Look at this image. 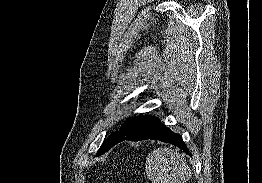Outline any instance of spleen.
<instances>
[{"mask_svg": "<svg viewBox=\"0 0 262 183\" xmlns=\"http://www.w3.org/2000/svg\"><path fill=\"white\" fill-rule=\"evenodd\" d=\"M145 166L152 183H185L191 176L185 159L168 148H157L149 153Z\"/></svg>", "mask_w": 262, "mask_h": 183, "instance_id": "3e777b00", "label": "spleen"}]
</instances>
